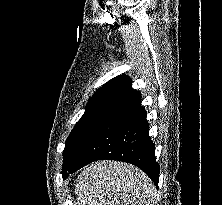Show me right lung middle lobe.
<instances>
[{
	"label": "right lung middle lobe",
	"mask_w": 222,
	"mask_h": 205,
	"mask_svg": "<svg viewBox=\"0 0 222 205\" xmlns=\"http://www.w3.org/2000/svg\"><path fill=\"white\" fill-rule=\"evenodd\" d=\"M107 111H98L85 113L77 122L69 137L66 140L63 152V168L65 171L74 160L81 146L96 127V125L105 117Z\"/></svg>",
	"instance_id": "obj_1"
}]
</instances>
